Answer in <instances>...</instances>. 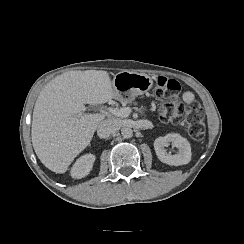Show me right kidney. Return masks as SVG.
I'll use <instances>...</instances> for the list:
<instances>
[{
    "mask_svg": "<svg viewBox=\"0 0 244 244\" xmlns=\"http://www.w3.org/2000/svg\"><path fill=\"white\" fill-rule=\"evenodd\" d=\"M95 161V155L86 154L76 160L71 168V177L81 179L89 174Z\"/></svg>",
    "mask_w": 244,
    "mask_h": 244,
    "instance_id": "ca27d5eb",
    "label": "right kidney"
}]
</instances>
